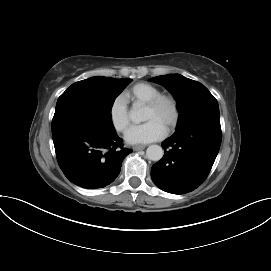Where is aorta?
Returning <instances> with one entry per match:
<instances>
[{
	"mask_svg": "<svg viewBox=\"0 0 271 271\" xmlns=\"http://www.w3.org/2000/svg\"><path fill=\"white\" fill-rule=\"evenodd\" d=\"M129 116L130 119L135 123H140L145 120L142 109L136 105L131 109ZM146 155L148 159L152 161H159L163 157L164 151L159 145H150L146 150Z\"/></svg>",
	"mask_w": 271,
	"mask_h": 271,
	"instance_id": "762f6f07",
	"label": "aorta"
}]
</instances>
